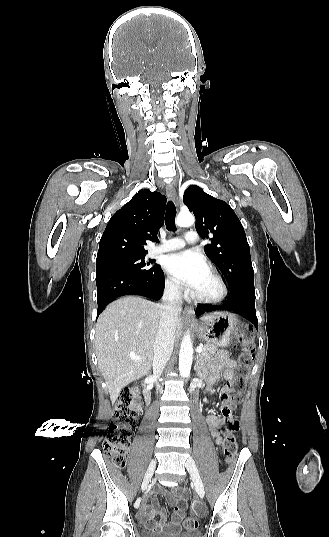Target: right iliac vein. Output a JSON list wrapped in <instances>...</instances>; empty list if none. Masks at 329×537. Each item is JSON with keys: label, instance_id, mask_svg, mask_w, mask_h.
Returning <instances> with one entry per match:
<instances>
[{"label": "right iliac vein", "instance_id": "obj_1", "mask_svg": "<svg viewBox=\"0 0 329 537\" xmlns=\"http://www.w3.org/2000/svg\"><path fill=\"white\" fill-rule=\"evenodd\" d=\"M155 466H156V461L155 460H152L149 467H148V470L145 474V477H144V480H143V483H142V490L144 491L154 473V469H155Z\"/></svg>", "mask_w": 329, "mask_h": 537}]
</instances>
